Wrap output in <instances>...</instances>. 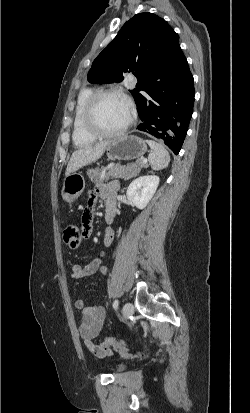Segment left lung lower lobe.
<instances>
[{"label": "left lung lower lobe", "mask_w": 250, "mask_h": 413, "mask_svg": "<svg viewBox=\"0 0 250 413\" xmlns=\"http://www.w3.org/2000/svg\"><path fill=\"white\" fill-rule=\"evenodd\" d=\"M178 36L161 40L162 67L140 86L135 98L142 123L137 129L164 140L177 155L193 113L194 79Z\"/></svg>", "instance_id": "left-lung-lower-lobe-1"}]
</instances>
